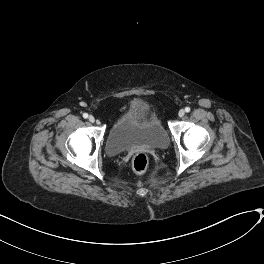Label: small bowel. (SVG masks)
Masks as SVG:
<instances>
[{
    "mask_svg": "<svg viewBox=\"0 0 264 264\" xmlns=\"http://www.w3.org/2000/svg\"><path fill=\"white\" fill-rule=\"evenodd\" d=\"M137 108H138V104L135 106V110H137Z\"/></svg>",
    "mask_w": 264,
    "mask_h": 264,
    "instance_id": "c3829d8e",
    "label": "small bowel"
}]
</instances>
